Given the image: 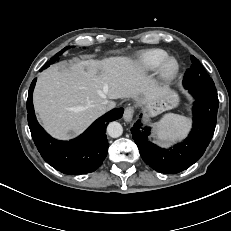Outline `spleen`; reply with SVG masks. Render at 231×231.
<instances>
[{
  "instance_id": "1",
  "label": "spleen",
  "mask_w": 231,
  "mask_h": 231,
  "mask_svg": "<svg viewBox=\"0 0 231 231\" xmlns=\"http://www.w3.org/2000/svg\"><path fill=\"white\" fill-rule=\"evenodd\" d=\"M189 127L190 123L186 117L168 114L158 123L156 135L160 141L175 139L183 136Z\"/></svg>"
}]
</instances>
